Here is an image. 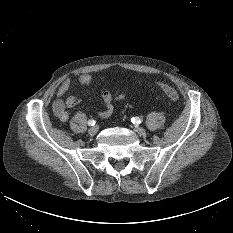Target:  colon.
<instances>
[{
	"instance_id": "colon-1",
	"label": "colon",
	"mask_w": 233,
	"mask_h": 233,
	"mask_svg": "<svg viewBox=\"0 0 233 233\" xmlns=\"http://www.w3.org/2000/svg\"><path fill=\"white\" fill-rule=\"evenodd\" d=\"M160 88L162 91L173 101H178L179 100V93L178 91L166 84H159Z\"/></svg>"
}]
</instances>
